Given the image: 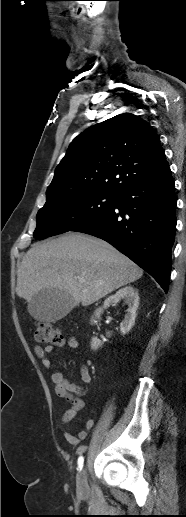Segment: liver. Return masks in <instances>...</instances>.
<instances>
[{
	"instance_id": "6515ba94",
	"label": "liver",
	"mask_w": 186,
	"mask_h": 517,
	"mask_svg": "<svg viewBox=\"0 0 186 517\" xmlns=\"http://www.w3.org/2000/svg\"><path fill=\"white\" fill-rule=\"evenodd\" d=\"M142 275L137 264L104 240L67 233L27 251L18 267L16 293L30 302L41 290L57 289L72 297L73 306H87Z\"/></svg>"
}]
</instances>
